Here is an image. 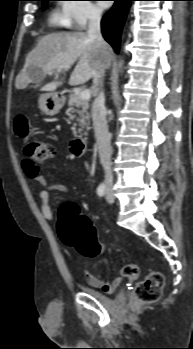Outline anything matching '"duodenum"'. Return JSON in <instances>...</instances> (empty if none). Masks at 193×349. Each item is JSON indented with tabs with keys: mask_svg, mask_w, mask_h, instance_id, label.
Wrapping results in <instances>:
<instances>
[{
	"mask_svg": "<svg viewBox=\"0 0 193 349\" xmlns=\"http://www.w3.org/2000/svg\"><path fill=\"white\" fill-rule=\"evenodd\" d=\"M87 148V141L84 138H76L70 142V152L76 156H83Z\"/></svg>",
	"mask_w": 193,
	"mask_h": 349,
	"instance_id": "obj_1",
	"label": "duodenum"
}]
</instances>
